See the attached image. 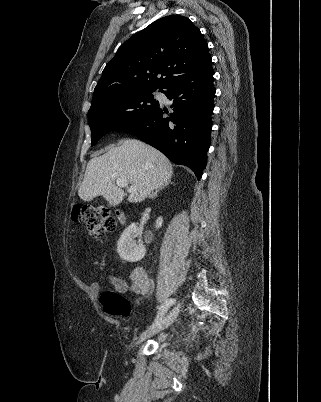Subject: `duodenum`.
Here are the masks:
<instances>
[{
  "label": "duodenum",
  "instance_id": "obj_1",
  "mask_svg": "<svg viewBox=\"0 0 321 402\" xmlns=\"http://www.w3.org/2000/svg\"><path fill=\"white\" fill-rule=\"evenodd\" d=\"M117 217L122 223L125 221V215L123 213L118 212Z\"/></svg>",
  "mask_w": 321,
  "mask_h": 402
}]
</instances>
